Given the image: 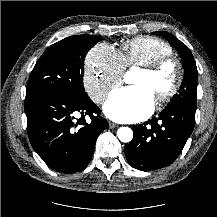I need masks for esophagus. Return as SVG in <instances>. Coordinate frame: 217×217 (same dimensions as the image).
<instances>
[{
    "instance_id": "34e87169",
    "label": "esophagus",
    "mask_w": 217,
    "mask_h": 217,
    "mask_svg": "<svg viewBox=\"0 0 217 217\" xmlns=\"http://www.w3.org/2000/svg\"><path fill=\"white\" fill-rule=\"evenodd\" d=\"M115 127H117V125L115 123H112V122L109 123V128L110 129H113Z\"/></svg>"
}]
</instances>
